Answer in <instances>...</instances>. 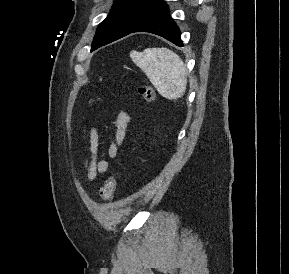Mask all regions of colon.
<instances>
[{"mask_svg": "<svg viewBox=\"0 0 289 274\" xmlns=\"http://www.w3.org/2000/svg\"><path fill=\"white\" fill-rule=\"evenodd\" d=\"M138 92L148 104H152L155 101V91L151 86L146 84L140 85ZM120 164H122V162H120ZM117 175V170L112 171L101 187L100 197L102 201H109L113 197L117 186Z\"/></svg>", "mask_w": 289, "mask_h": 274, "instance_id": "colon-1", "label": "colon"}]
</instances>
